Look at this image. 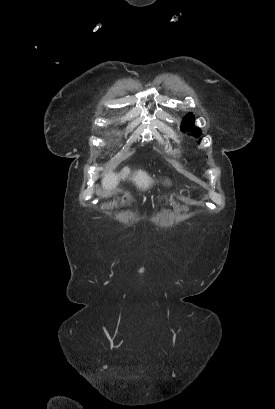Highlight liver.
Instances as JSON below:
<instances>
[{
	"instance_id": "1",
	"label": "liver",
	"mask_w": 275,
	"mask_h": 409,
	"mask_svg": "<svg viewBox=\"0 0 275 409\" xmlns=\"http://www.w3.org/2000/svg\"><path fill=\"white\" fill-rule=\"evenodd\" d=\"M130 168L128 166H124L121 172H113V170H108V172H104L103 178L101 180L103 188H108V190H112V188H116L117 184H119V180H125V178H129V180H133L138 188H148L150 184H152V178L145 172V170H135L133 174H131Z\"/></svg>"
}]
</instances>
